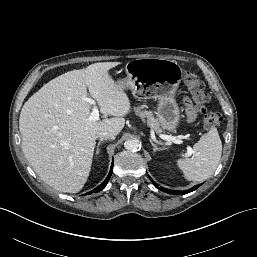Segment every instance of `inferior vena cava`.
Masks as SVG:
<instances>
[{
    "label": "inferior vena cava",
    "mask_w": 257,
    "mask_h": 257,
    "mask_svg": "<svg viewBox=\"0 0 257 257\" xmlns=\"http://www.w3.org/2000/svg\"><path fill=\"white\" fill-rule=\"evenodd\" d=\"M116 134L110 131H102L98 134L100 139H115Z\"/></svg>",
    "instance_id": "obj_1"
}]
</instances>
